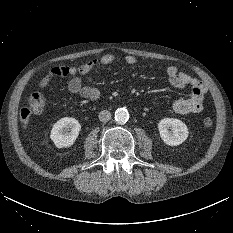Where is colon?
Wrapping results in <instances>:
<instances>
[{
	"instance_id": "obj_1",
	"label": "colon",
	"mask_w": 233,
	"mask_h": 233,
	"mask_svg": "<svg viewBox=\"0 0 233 233\" xmlns=\"http://www.w3.org/2000/svg\"><path fill=\"white\" fill-rule=\"evenodd\" d=\"M45 106L44 97L41 94L33 93L27 100L26 105L20 111V119L24 124H27L29 120L42 113ZM203 125L205 127H211L213 120L209 117L203 119Z\"/></svg>"
}]
</instances>
